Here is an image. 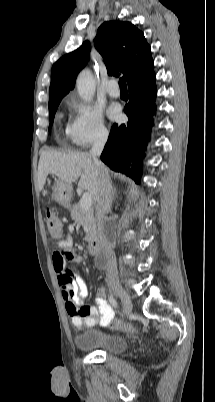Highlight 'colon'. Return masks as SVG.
<instances>
[{
	"instance_id": "1",
	"label": "colon",
	"mask_w": 215,
	"mask_h": 402,
	"mask_svg": "<svg viewBox=\"0 0 215 402\" xmlns=\"http://www.w3.org/2000/svg\"><path fill=\"white\" fill-rule=\"evenodd\" d=\"M46 221H47V225H48L50 233L53 236H59L61 233V227H60V224L56 217V213L52 206H48L46 208ZM112 326L116 329H122V330L130 332V333H133L135 331V328L131 324L125 323L120 320L113 322Z\"/></svg>"
}]
</instances>
